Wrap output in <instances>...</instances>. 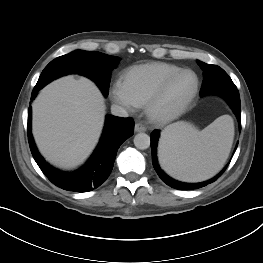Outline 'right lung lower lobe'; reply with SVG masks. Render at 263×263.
<instances>
[{
  "instance_id": "right-lung-lower-lobe-1",
  "label": "right lung lower lobe",
  "mask_w": 263,
  "mask_h": 263,
  "mask_svg": "<svg viewBox=\"0 0 263 263\" xmlns=\"http://www.w3.org/2000/svg\"><path fill=\"white\" fill-rule=\"evenodd\" d=\"M40 89L34 87L32 100ZM27 130L31 153L45 176L64 190L87 192L99 187L110 175L118 148L134 133V121L132 118L106 116L104 131L93 155L82 168L70 173L53 168L39 154L31 133V108L28 109Z\"/></svg>"
}]
</instances>
